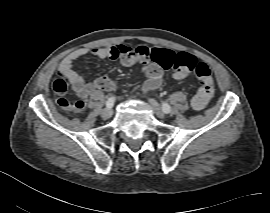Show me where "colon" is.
I'll list each match as a JSON object with an SVG mask.
<instances>
[{
	"mask_svg": "<svg viewBox=\"0 0 270 213\" xmlns=\"http://www.w3.org/2000/svg\"><path fill=\"white\" fill-rule=\"evenodd\" d=\"M116 52L123 57L136 56L143 60L151 59L165 70L173 69V76L176 80L185 78L194 69L201 85L191 101L194 110H202L214 94V80L210 68L205 63H198L196 57L191 54L181 52L171 55L168 52H150L144 46L133 47L123 44L116 46ZM52 88L57 94L56 102L63 108L75 112L84 108L82 100L64 96L66 89L60 80L54 81Z\"/></svg>",
	"mask_w": 270,
	"mask_h": 213,
	"instance_id": "5ec220e1",
	"label": "colon"
}]
</instances>
